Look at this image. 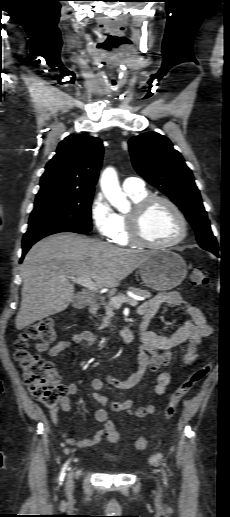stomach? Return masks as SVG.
<instances>
[{"instance_id":"stomach-1","label":"stomach","mask_w":230,"mask_h":517,"mask_svg":"<svg viewBox=\"0 0 230 517\" xmlns=\"http://www.w3.org/2000/svg\"><path fill=\"white\" fill-rule=\"evenodd\" d=\"M144 284L156 291H168L182 283L187 275L184 259L171 250L152 251L139 267Z\"/></svg>"}]
</instances>
